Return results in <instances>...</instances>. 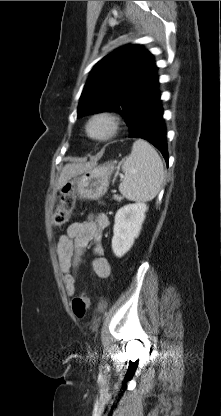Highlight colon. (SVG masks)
Wrapping results in <instances>:
<instances>
[{
	"instance_id": "colon-1",
	"label": "colon",
	"mask_w": 221,
	"mask_h": 416,
	"mask_svg": "<svg viewBox=\"0 0 221 416\" xmlns=\"http://www.w3.org/2000/svg\"><path fill=\"white\" fill-rule=\"evenodd\" d=\"M74 186L72 183H67L62 191L61 204L58 210L53 214L52 223L55 226L65 225L71 216L74 207ZM89 307V297L85 292H82L72 300V310L78 319H83Z\"/></svg>"
}]
</instances>
